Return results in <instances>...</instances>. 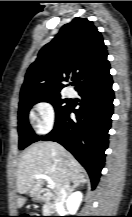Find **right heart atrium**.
<instances>
[{"mask_svg":"<svg viewBox=\"0 0 132 217\" xmlns=\"http://www.w3.org/2000/svg\"><path fill=\"white\" fill-rule=\"evenodd\" d=\"M36 112L35 127L41 134L49 132L55 123V109L48 101H40L34 105Z\"/></svg>","mask_w":132,"mask_h":217,"instance_id":"1","label":"right heart atrium"}]
</instances>
